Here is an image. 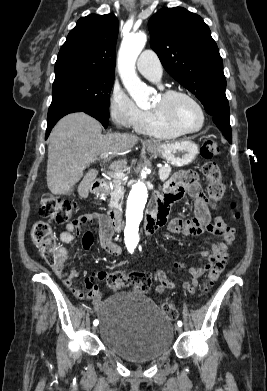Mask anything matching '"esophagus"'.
I'll return each instance as SVG.
<instances>
[{
	"label": "esophagus",
	"mask_w": 267,
	"mask_h": 391,
	"mask_svg": "<svg viewBox=\"0 0 267 391\" xmlns=\"http://www.w3.org/2000/svg\"><path fill=\"white\" fill-rule=\"evenodd\" d=\"M145 144H146V145H153V143H152L151 141H149V140L146 141Z\"/></svg>",
	"instance_id": "1"
}]
</instances>
